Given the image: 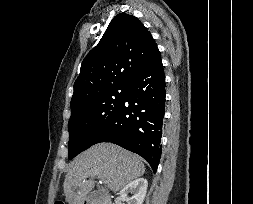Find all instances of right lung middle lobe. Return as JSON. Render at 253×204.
<instances>
[{
    "label": "right lung middle lobe",
    "mask_w": 253,
    "mask_h": 204,
    "mask_svg": "<svg viewBox=\"0 0 253 204\" xmlns=\"http://www.w3.org/2000/svg\"><path fill=\"white\" fill-rule=\"evenodd\" d=\"M127 86L109 89L74 107L68 123V157L72 159L94 144L122 105Z\"/></svg>",
    "instance_id": "dd1d6c3e"
}]
</instances>
